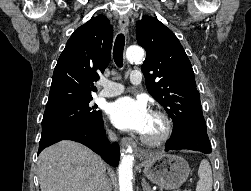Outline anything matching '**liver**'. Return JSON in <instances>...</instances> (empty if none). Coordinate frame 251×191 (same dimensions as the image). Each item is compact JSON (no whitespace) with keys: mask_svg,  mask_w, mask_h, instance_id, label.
<instances>
[{"mask_svg":"<svg viewBox=\"0 0 251 191\" xmlns=\"http://www.w3.org/2000/svg\"><path fill=\"white\" fill-rule=\"evenodd\" d=\"M41 191H100L106 163L77 141L63 139L38 157Z\"/></svg>","mask_w":251,"mask_h":191,"instance_id":"liver-1","label":"liver"}]
</instances>
